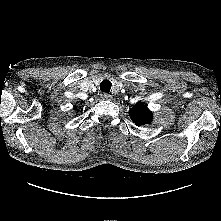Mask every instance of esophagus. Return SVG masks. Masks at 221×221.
I'll return each instance as SVG.
<instances>
[{
	"label": "esophagus",
	"mask_w": 221,
	"mask_h": 221,
	"mask_svg": "<svg viewBox=\"0 0 221 221\" xmlns=\"http://www.w3.org/2000/svg\"><path fill=\"white\" fill-rule=\"evenodd\" d=\"M101 97L105 100H111L112 99V95L107 94V93H102Z\"/></svg>",
	"instance_id": "obj_1"
}]
</instances>
